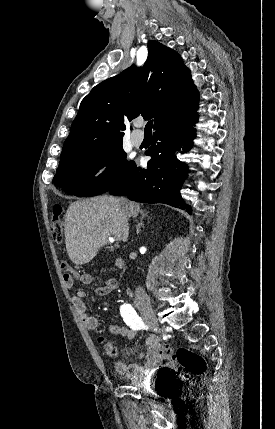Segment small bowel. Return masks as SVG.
<instances>
[{
    "instance_id": "1",
    "label": "small bowel",
    "mask_w": 275,
    "mask_h": 429,
    "mask_svg": "<svg viewBox=\"0 0 275 429\" xmlns=\"http://www.w3.org/2000/svg\"><path fill=\"white\" fill-rule=\"evenodd\" d=\"M74 277L83 284L91 285L93 282V276L88 273H83L79 275H74V273L69 270L65 273L64 280L67 286L71 289L74 282ZM117 287V282L114 279H108L102 286L96 288L97 294L104 296L110 294ZM86 293L84 291H77L72 294V303L75 310L81 316L84 326L90 330L95 331L99 326V320L95 316L87 314V308L85 304ZM110 331L114 334L121 335L129 340H132L136 337L137 331L126 326H121L117 324L110 325ZM160 350L161 344L155 337H149L146 340L145 348L139 357L143 359V364L139 363H117L116 369L119 373L123 374L128 378H139L145 376L150 372L157 370L160 365Z\"/></svg>"
}]
</instances>
